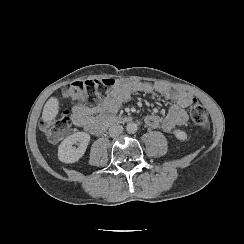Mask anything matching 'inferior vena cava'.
I'll list each match as a JSON object with an SVG mask.
<instances>
[{"mask_svg":"<svg viewBox=\"0 0 244 244\" xmlns=\"http://www.w3.org/2000/svg\"><path fill=\"white\" fill-rule=\"evenodd\" d=\"M123 132V127L119 124H114L109 128V135L111 137H117Z\"/></svg>","mask_w":244,"mask_h":244,"instance_id":"inferior-vena-cava-1","label":"inferior vena cava"}]
</instances>
